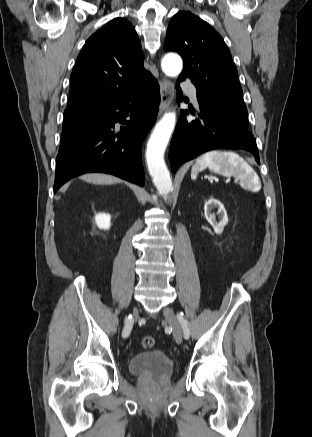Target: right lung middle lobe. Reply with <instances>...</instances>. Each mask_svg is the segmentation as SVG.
I'll return each instance as SVG.
<instances>
[{
    "mask_svg": "<svg viewBox=\"0 0 312 437\" xmlns=\"http://www.w3.org/2000/svg\"><path fill=\"white\" fill-rule=\"evenodd\" d=\"M95 111H71L64 112L63 128L75 125L76 123L84 120L85 118L94 114Z\"/></svg>",
    "mask_w": 312,
    "mask_h": 437,
    "instance_id": "obj_1",
    "label": "right lung middle lobe"
}]
</instances>
